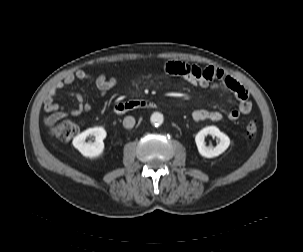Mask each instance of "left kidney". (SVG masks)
<instances>
[{
  "instance_id": "5707ae66",
  "label": "left kidney",
  "mask_w": 303,
  "mask_h": 252,
  "mask_svg": "<svg viewBox=\"0 0 303 252\" xmlns=\"http://www.w3.org/2000/svg\"><path fill=\"white\" fill-rule=\"evenodd\" d=\"M207 135L219 138V143L214 148L205 146V136ZM195 142L199 153L206 158L219 156L230 145L229 137L221 132L216 126H207L200 130L195 137Z\"/></svg>"
}]
</instances>
